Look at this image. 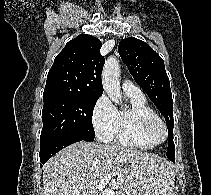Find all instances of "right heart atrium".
Here are the masks:
<instances>
[{"instance_id": "1", "label": "right heart atrium", "mask_w": 211, "mask_h": 195, "mask_svg": "<svg viewBox=\"0 0 211 195\" xmlns=\"http://www.w3.org/2000/svg\"><path fill=\"white\" fill-rule=\"evenodd\" d=\"M91 119L97 137L104 142L111 141L115 128L116 109L107 96L102 95L96 101Z\"/></svg>"}]
</instances>
